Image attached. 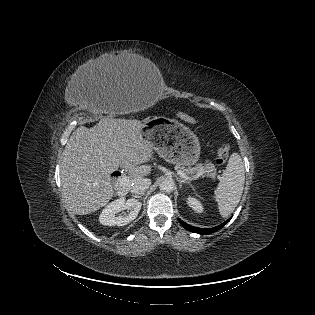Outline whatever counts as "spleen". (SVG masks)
<instances>
[{
	"label": "spleen",
	"instance_id": "3e777b00",
	"mask_svg": "<svg viewBox=\"0 0 315 315\" xmlns=\"http://www.w3.org/2000/svg\"><path fill=\"white\" fill-rule=\"evenodd\" d=\"M244 182V163L239 154L233 153L214 192V198L218 202L222 217L229 216L238 205L243 193Z\"/></svg>",
	"mask_w": 315,
	"mask_h": 315
}]
</instances>
